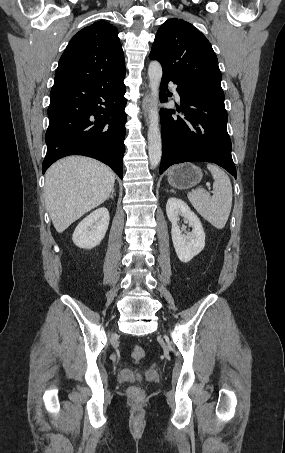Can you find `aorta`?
Here are the masks:
<instances>
[{"label": "aorta", "instance_id": "762f6f07", "mask_svg": "<svg viewBox=\"0 0 285 453\" xmlns=\"http://www.w3.org/2000/svg\"><path fill=\"white\" fill-rule=\"evenodd\" d=\"M162 66L158 61H152L148 67V77L151 88V108L149 111L148 128V155L152 168L158 166L162 156V140L159 129V111L157 101L159 96V86L162 78Z\"/></svg>", "mask_w": 285, "mask_h": 453}]
</instances>
